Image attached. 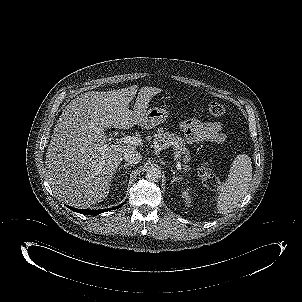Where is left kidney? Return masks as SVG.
Masks as SVG:
<instances>
[{
  "mask_svg": "<svg viewBox=\"0 0 302 302\" xmlns=\"http://www.w3.org/2000/svg\"><path fill=\"white\" fill-rule=\"evenodd\" d=\"M182 197L185 199V202H186L187 204L190 203V196H189V193H188L187 190H184V191L182 192Z\"/></svg>",
  "mask_w": 302,
  "mask_h": 302,
  "instance_id": "obj_1",
  "label": "left kidney"
}]
</instances>
